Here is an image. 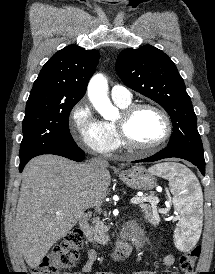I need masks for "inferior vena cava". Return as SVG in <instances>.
<instances>
[{"label":"inferior vena cava","mask_w":215,"mask_h":274,"mask_svg":"<svg viewBox=\"0 0 215 274\" xmlns=\"http://www.w3.org/2000/svg\"><path fill=\"white\" fill-rule=\"evenodd\" d=\"M108 165V162L102 158L94 157L89 161L90 170H100Z\"/></svg>","instance_id":"1"}]
</instances>
